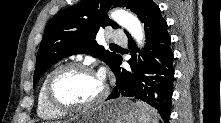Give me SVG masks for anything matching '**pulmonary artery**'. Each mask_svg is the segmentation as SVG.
<instances>
[{
  "instance_id": "1",
  "label": "pulmonary artery",
  "mask_w": 221,
  "mask_h": 123,
  "mask_svg": "<svg viewBox=\"0 0 221 123\" xmlns=\"http://www.w3.org/2000/svg\"><path fill=\"white\" fill-rule=\"evenodd\" d=\"M110 40L116 43H124L126 41V36L121 30H114L110 33Z\"/></svg>"
}]
</instances>
